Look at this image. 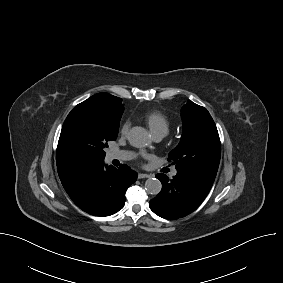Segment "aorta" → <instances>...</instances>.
Segmentation results:
<instances>
[{
	"label": "aorta",
	"mask_w": 283,
	"mask_h": 283,
	"mask_svg": "<svg viewBox=\"0 0 283 283\" xmlns=\"http://www.w3.org/2000/svg\"><path fill=\"white\" fill-rule=\"evenodd\" d=\"M129 143L136 148H143L151 143L149 133L142 127H133L128 134ZM162 189V184L157 178H149L145 182V190L148 194L157 195Z\"/></svg>",
	"instance_id": "obj_1"
}]
</instances>
